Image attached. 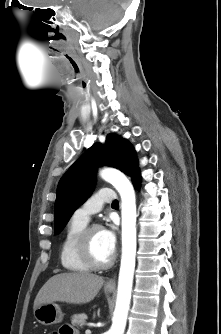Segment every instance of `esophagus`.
<instances>
[{
    "label": "esophagus",
    "instance_id": "1",
    "mask_svg": "<svg viewBox=\"0 0 221 334\" xmlns=\"http://www.w3.org/2000/svg\"><path fill=\"white\" fill-rule=\"evenodd\" d=\"M107 287H115L116 286V281L115 278H112L106 282Z\"/></svg>",
    "mask_w": 221,
    "mask_h": 334
}]
</instances>
